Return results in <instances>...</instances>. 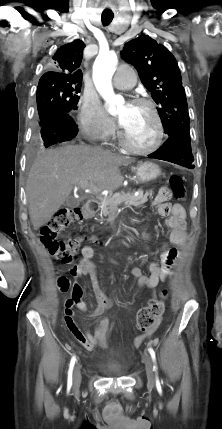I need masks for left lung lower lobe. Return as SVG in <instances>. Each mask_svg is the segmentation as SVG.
Returning a JSON list of instances; mask_svg holds the SVG:
<instances>
[{"mask_svg":"<svg viewBox=\"0 0 222 429\" xmlns=\"http://www.w3.org/2000/svg\"><path fill=\"white\" fill-rule=\"evenodd\" d=\"M149 157L169 161L183 167L193 169L194 157L190 145V136L174 135L169 137L157 151Z\"/></svg>","mask_w":222,"mask_h":429,"instance_id":"0a47b994","label":"left lung lower lobe"}]
</instances>
